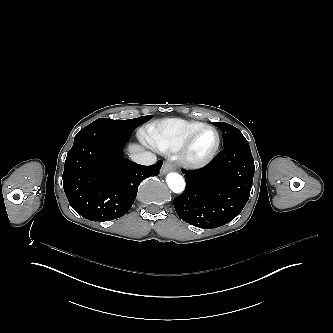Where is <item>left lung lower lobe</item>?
<instances>
[{
	"label": "left lung lower lobe",
	"instance_id": "left-lung-lower-lobe-1",
	"mask_svg": "<svg viewBox=\"0 0 333 333\" xmlns=\"http://www.w3.org/2000/svg\"><path fill=\"white\" fill-rule=\"evenodd\" d=\"M254 159L247 140L226 147L205 167L185 173V191L174 199L178 216L194 226L220 227L238 216L253 182Z\"/></svg>",
	"mask_w": 333,
	"mask_h": 333
}]
</instances>
